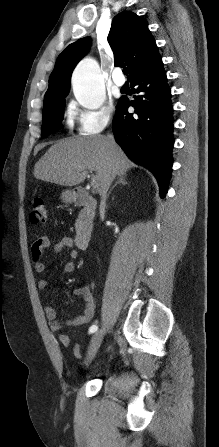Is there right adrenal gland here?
I'll use <instances>...</instances> for the list:
<instances>
[{"mask_svg":"<svg viewBox=\"0 0 219 447\" xmlns=\"http://www.w3.org/2000/svg\"><path fill=\"white\" fill-rule=\"evenodd\" d=\"M126 177H127L126 174L118 175V178H117L116 183L111 187V189H110V191H109V193H108V197H109V195L111 194L112 190L114 189V187H115L117 184H122V185H126V184H128V182L126 181Z\"/></svg>","mask_w":219,"mask_h":447,"instance_id":"right-adrenal-gland-1","label":"right adrenal gland"}]
</instances>
